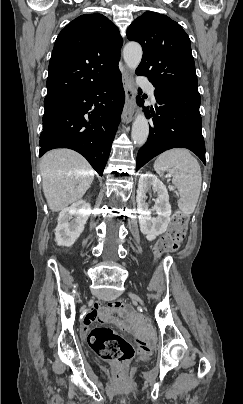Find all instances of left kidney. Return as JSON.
<instances>
[{"label": "left kidney", "mask_w": 243, "mask_h": 404, "mask_svg": "<svg viewBox=\"0 0 243 404\" xmlns=\"http://www.w3.org/2000/svg\"><path fill=\"white\" fill-rule=\"evenodd\" d=\"M151 188L153 192H156L157 198L154 208L149 210V204L146 202V194ZM136 202L140 230L142 234H145L147 240L152 242V240H155L156 236L164 234L168 224H170L171 206L169 204L166 186L158 180L157 176L151 174V172L140 174ZM152 212H155L156 218H152Z\"/></svg>", "instance_id": "1"}]
</instances>
